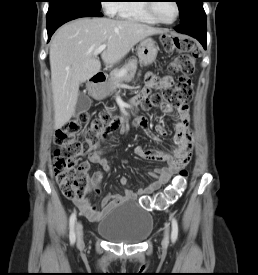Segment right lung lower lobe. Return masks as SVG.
I'll return each instance as SVG.
<instances>
[{
    "mask_svg": "<svg viewBox=\"0 0 258 275\" xmlns=\"http://www.w3.org/2000/svg\"><path fill=\"white\" fill-rule=\"evenodd\" d=\"M100 17L102 14L94 9L79 7V6H65L60 7L47 13V32L50 39L52 34L62 24L80 17Z\"/></svg>",
    "mask_w": 258,
    "mask_h": 275,
    "instance_id": "right-lung-lower-lobe-1",
    "label": "right lung lower lobe"
}]
</instances>
